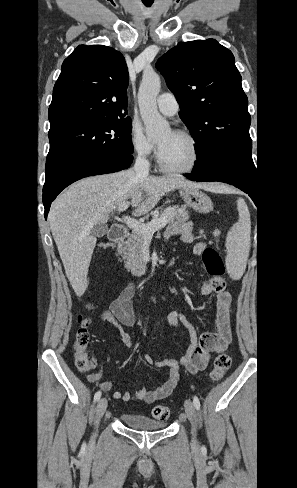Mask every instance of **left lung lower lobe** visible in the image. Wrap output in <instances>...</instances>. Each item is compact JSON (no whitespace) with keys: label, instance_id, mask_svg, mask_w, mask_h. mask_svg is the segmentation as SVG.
<instances>
[{"label":"left lung lower lobe","instance_id":"1","mask_svg":"<svg viewBox=\"0 0 297 488\" xmlns=\"http://www.w3.org/2000/svg\"><path fill=\"white\" fill-rule=\"evenodd\" d=\"M184 176L193 181H219L231 184L247 193L254 203L257 202L258 186L255 176L238 167L217 166L202 172L192 171Z\"/></svg>","mask_w":297,"mask_h":488}]
</instances>
